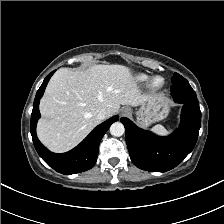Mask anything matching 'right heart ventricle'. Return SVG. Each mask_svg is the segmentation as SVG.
<instances>
[{
  "instance_id": "1",
  "label": "right heart ventricle",
  "mask_w": 224,
  "mask_h": 224,
  "mask_svg": "<svg viewBox=\"0 0 224 224\" xmlns=\"http://www.w3.org/2000/svg\"><path fill=\"white\" fill-rule=\"evenodd\" d=\"M149 78V75L146 74V73H138L135 75V80L140 82V83H143L145 81H147Z\"/></svg>"
}]
</instances>
